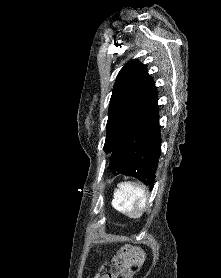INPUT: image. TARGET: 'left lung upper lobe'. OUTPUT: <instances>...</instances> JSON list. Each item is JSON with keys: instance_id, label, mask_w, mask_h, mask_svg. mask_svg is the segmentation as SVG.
<instances>
[{"instance_id": "1", "label": "left lung upper lobe", "mask_w": 221, "mask_h": 278, "mask_svg": "<svg viewBox=\"0 0 221 278\" xmlns=\"http://www.w3.org/2000/svg\"><path fill=\"white\" fill-rule=\"evenodd\" d=\"M156 93L154 82L143 64L131 60L124 65L117 76L110 100L104 144L106 153L114 150Z\"/></svg>"}]
</instances>
